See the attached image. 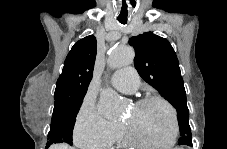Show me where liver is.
Returning a JSON list of instances; mask_svg holds the SVG:
<instances>
[{
	"mask_svg": "<svg viewBox=\"0 0 227 149\" xmlns=\"http://www.w3.org/2000/svg\"><path fill=\"white\" fill-rule=\"evenodd\" d=\"M52 149H72V148L67 145H56V146H52Z\"/></svg>",
	"mask_w": 227,
	"mask_h": 149,
	"instance_id": "6515ba94",
	"label": "liver"
}]
</instances>
